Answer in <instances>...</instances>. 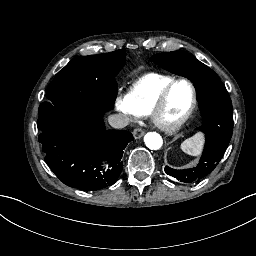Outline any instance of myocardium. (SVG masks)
Wrapping results in <instances>:
<instances>
[{"label": "myocardium", "instance_id": "obj_1", "mask_svg": "<svg viewBox=\"0 0 256 256\" xmlns=\"http://www.w3.org/2000/svg\"><path fill=\"white\" fill-rule=\"evenodd\" d=\"M180 82H185L186 84H188V86L191 89V93H192V102H191V106L190 108L178 119L174 120L171 127L170 128H162V130L166 133V134H170L172 132H174L175 130H177L179 127H181L189 118L190 116L193 114V112L196 109L197 106V95H196V89L193 85V83L186 77H180L175 79L174 81H172L159 95L158 97L151 103H145V106L147 108H149L150 110H157L160 109L161 107H163L170 94L171 91L173 90V88ZM151 116L152 113L150 111L145 112Z\"/></svg>", "mask_w": 256, "mask_h": 256}]
</instances>
